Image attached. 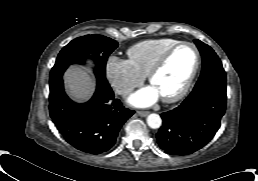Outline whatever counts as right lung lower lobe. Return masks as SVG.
<instances>
[{
	"mask_svg": "<svg viewBox=\"0 0 258 181\" xmlns=\"http://www.w3.org/2000/svg\"><path fill=\"white\" fill-rule=\"evenodd\" d=\"M68 66L55 64L50 73V116L64 139L74 148L101 154L112 148L118 132L133 110L125 108L105 77L97 78L90 101L76 104L64 92L62 76Z\"/></svg>",
	"mask_w": 258,
	"mask_h": 181,
	"instance_id": "98d812e1",
	"label": "right lung lower lobe"
}]
</instances>
